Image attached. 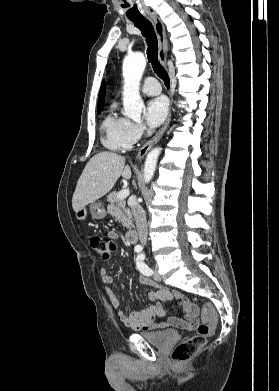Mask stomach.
Here are the masks:
<instances>
[{
    "instance_id": "stomach-1",
    "label": "stomach",
    "mask_w": 279,
    "mask_h": 391,
    "mask_svg": "<svg viewBox=\"0 0 279 391\" xmlns=\"http://www.w3.org/2000/svg\"><path fill=\"white\" fill-rule=\"evenodd\" d=\"M90 213L94 219H103L106 216L104 206L100 202H93L89 206ZM76 218L80 221H84L87 217V208L82 207L76 211Z\"/></svg>"
}]
</instances>
